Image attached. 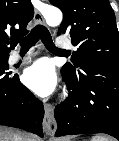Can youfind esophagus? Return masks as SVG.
Here are the masks:
<instances>
[{"mask_svg": "<svg viewBox=\"0 0 119 141\" xmlns=\"http://www.w3.org/2000/svg\"><path fill=\"white\" fill-rule=\"evenodd\" d=\"M34 19L36 22L43 24L45 23L42 14L36 9L34 13ZM44 119H43V130L46 134H54L57 129V123L54 118V110L50 103L44 104Z\"/></svg>", "mask_w": 119, "mask_h": 141, "instance_id": "esophagus-1", "label": "esophagus"}]
</instances>
